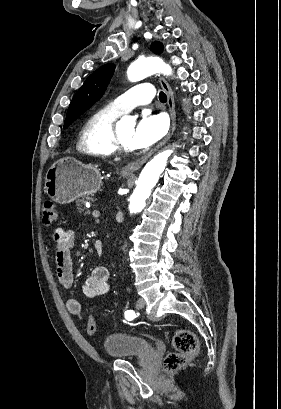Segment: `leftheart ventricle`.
<instances>
[{
    "mask_svg": "<svg viewBox=\"0 0 281 409\" xmlns=\"http://www.w3.org/2000/svg\"><path fill=\"white\" fill-rule=\"evenodd\" d=\"M134 129L132 125H118L120 139L125 148L134 149L132 144Z\"/></svg>",
    "mask_w": 281,
    "mask_h": 409,
    "instance_id": "obj_1",
    "label": "left heart ventricle"
}]
</instances>
